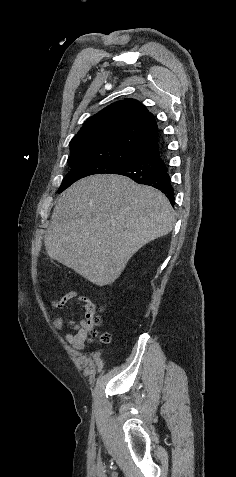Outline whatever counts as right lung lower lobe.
Wrapping results in <instances>:
<instances>
[{"label": "right lung lower lobe", "instance_id": "1", "mask_svg": "<svg viewBox=\"0 0 236 477\" xmlns=\"http://www.w3.org/2000/svg\"><path fill=\"white\" fill-rule=\"evenodd\" d=\"M112 174L124 175L139 184L155 187L161 190L174 205V189L171 185L168 169L158 150L133 164L118 169Z\"/></svg>", "mask_w": 236, "mask_h": 477}]
</instances>
